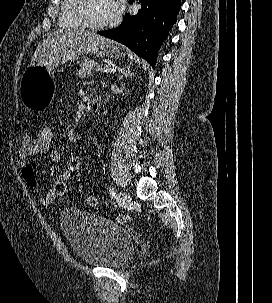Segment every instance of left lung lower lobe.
<instances>
[{"mask_svg": "<svg viewBox=\"0 0 272 303\" xmlns=\"http://www.w3.org/2000/svg\"><path fill=\"white\" fill-rule=\"evenodd\" d=\"M134 2L131 0L130 3ZM142 8L137 15H126L117 28L98 34L118 41L152 66L157 62V52L177 21L181 0H139Z\"/></svg>", "mask_w": 272, "mask_h": 303, "instance_id": "1", "label": "left lung lower lobe"}]
</instances>
